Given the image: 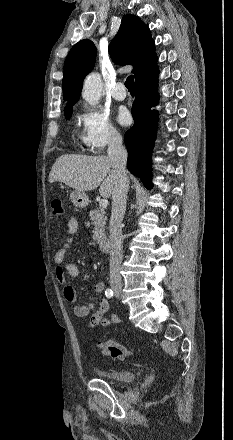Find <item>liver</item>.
I'll list each match as a JSON object with an SVG mask.
<instances>
[{"instance_id": "obj_1", "label": "liver", "mask_w": 233, "mask_h": 440, "mask_svg": "<svg viewBox=\"0 0 233 440\" xmlns=\"http://www.w3.org/2000/svg\"><path fill=\"white\" fill-rule=\"evenodd\" d=\"M62 182L81 192L99 188L103 197L114 189L116 172L108 156L61 155L52 166L49 182Z\"/></svg>"}]
</instances>
